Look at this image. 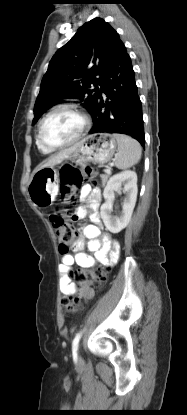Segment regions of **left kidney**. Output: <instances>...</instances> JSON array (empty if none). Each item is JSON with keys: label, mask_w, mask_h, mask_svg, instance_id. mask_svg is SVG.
<instances>
[{"label": "left kidney", "mask_w": 187, "mask_h": 415, "mask_svg": "<svg viewBox=\"0 0 187 415\" xmlns=\"http://www.w3.org/2000/svg\"><path fill=\"white\" fill-rule=\"evenodd\" d=\"M124 185L125 198L122 202V211L118 216H113V202L115 193ZM137 174L131 170H125L113 175L104 189L105 203L100 208L101 218L111 233H119L130 222L137 199Z\"/></svg>", "instance_id": "left-kidney-1"}]
</instances>
